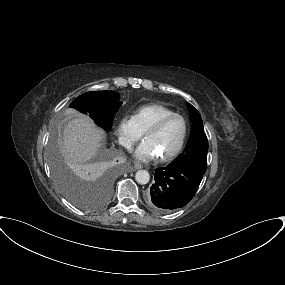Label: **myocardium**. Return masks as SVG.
I'll use <instances>...</instances> for the list:
<instances>
[{
	"label": "myocardium",
	"mask_w": 285,
	"mask_h": 285,
	"mask_svg": "<svg viewBox=\"0 0 285 285\" xmlns=\"http://www.w3.org/2000/svg\"><path fill=\"white\" fill-rule=\"evenodd\" d=\"M175 118H178L183 122L184 131H183L181 141H180L179 145L177 146V148L174 149L169 154L163 155V156H158V159L160 161L172 160L182 151V149L185 145L186 139H187V135H188L187 120L182 115L174 113L172 115L163 117L160 120H158L156 123H154L152 126H150L143 134L144 138H146L148 135L158 132L160 129H162L164 127L165 124H167L169 121H171L172 119H175Z\"/></svg>",
	"instance_id": "1"
}]
</instances>
